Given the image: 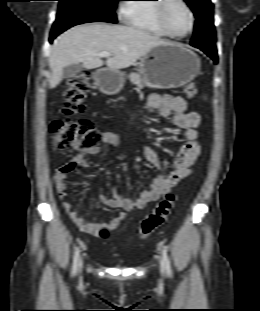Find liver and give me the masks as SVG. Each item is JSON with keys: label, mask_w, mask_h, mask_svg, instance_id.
Instances as JSON below:
<instances>
[{"label": "liver", "mask_w": 260, "mask_h": 311, "mask_svg": "<svg viewBox=\"0 0 260 311\" xmlns=\"http://www.w3.org/2000/svg\"><path fill=\"white\" fill-rule=\"evenodd\" d=\"M166 43L169 42L134 27L106 23L75 26L54 42L49 58L50 87L55 88L61 82L63 69L68 65L81 63L87 69L103 66L98 53H111L107 68L119 70L133 65L153 47Z\"/></svg>", "instance_id": "liver-1"}]
</instances>
